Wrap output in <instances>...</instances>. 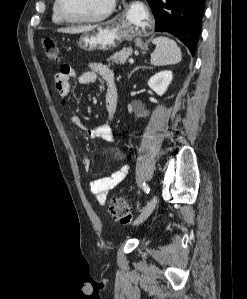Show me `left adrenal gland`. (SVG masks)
<instances>
[{
    "label": "left adrenal gland",
    "mask_w": 247,
    "mask_h": 299,
    "mask_svg": "<svg viewBox=\"0 0 247 299\" xmlns=\"http://www.w3.org/2000/svg\"><path fill=\"white\" fill-rule=\"evenodd\" d=\"M140 68H144V67H136V68H134L131 72H130V74L128 75V78H130L131 77V75L135 72V71H137L138 69H140Z\"/></svg>",
    "instance_id": "obj_1"
}]
</instances>
